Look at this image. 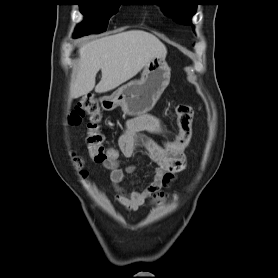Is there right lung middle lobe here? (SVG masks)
<instances>
[{
    "mask_svg": "<svg viewBox=\"0 0 278 278\" xmlns=\"http://www.w3.org/2000/svg\"><path fill=\"white\" fill-rule=\"evenodd\" d=\"M121 0H78L80 10L83 14H89L90 19H86L79 24L74 37L89 35L92 32L101 33L106 30L108 21L114 15L121 3Z\"/></svg>",
    "mask_w": 278,
    "mask_h": 278,
    "instance_id": "1",
    "label": "right lung middle lobe"
}]
</instances>
